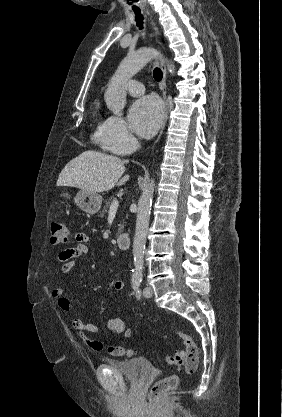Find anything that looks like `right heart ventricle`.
Wrapping results in <instances>:
<instances>
[{
  "instance_id": "1",
  "label": "right heart ventricle",
  "mask_w": 282,
  "mask_h": 417,
  "mask_svg": "<svg viewBox=\"0 0 282 417\" xmlns=\"http://www.w3.org/2000/svg\"><path fill=\"white\" fill-rule=\"evenodd\" d=\"M110 117H100L97 118V125H96V132H95V138L99 141H101L104 144L105 141V134L108 127V121Z\"/></svg>"
}]
</instances>
